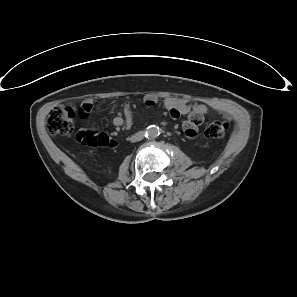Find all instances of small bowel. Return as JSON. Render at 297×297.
<instances>
[{"instance_id":"small-bowel-1","label":"small bowel","mask_w":297,"mask_h":297,"mask_svg":"<svg viewBox=\"0 0 297 297\" xmlns=\"http://www.w3.org/2000/svg\"><path fill=\"white\" fill-rule=\"evenodd\" d=\"M165 105L167 106V108H169L170 113L172 114V116L174 117H178L180 114H186L189 109L186 105V102L183 100H177V99H173V98H167L165 100ZM207 112V108L204 105H199L197 107H195V109L192 111V115L193 116H201L203 114H205ZM130 123L131 122V113L129 110H125V114H124V118L121 117H116L113 120V124L116 127H119L121 125H123L124 123ZM187 126H189L190 128H193L195 125L192 121H188L187 122ZM190 135H194V131L191 130L188 132Z\"/></svg>"}]
</instances>
